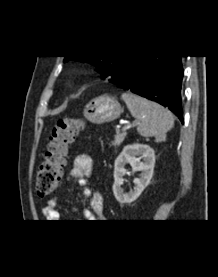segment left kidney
Masks as SVG:
<instances>
[{
  "label": "left kidney",
  "mask_w": 218,
  "mask_h": 277,
  "mask_svg": "<svg viewBox=\"0 0 218 277\" xmlns=\"http://www.w3.org/2000/svg\"><path fill=\"white\" fill-rule=\"evenodd\" d=\"M143 159V162L140 160ZM129 163L133 172L140 171V178L134 179L135 187L128 193H125L121 187L123 176L127 170L125 165ZM155 165V151L145 144H131L124 147L114 163V184L113 193L117 201L121 204L135 201L143 190L148 186L153 176Z\"/></svg>",
  "instance_id": "obj_1"
}]
</instances>
